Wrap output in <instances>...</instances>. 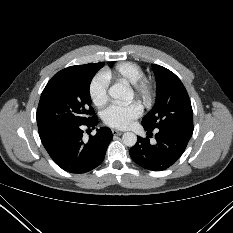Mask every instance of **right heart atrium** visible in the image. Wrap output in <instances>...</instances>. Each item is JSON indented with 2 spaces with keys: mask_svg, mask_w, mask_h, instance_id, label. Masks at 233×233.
Returning <instances> with one entry per match:
<instances>
[{
  "mask_svg": "<svg viewBox=\"0 0 233 233\" xmlns=\"http://www.w3.org/2000/svg\"><path fill=\"white\" fill-rule=\"evenodd\" d=\"M109 79L103 72L95 75L90 81L88 92L91 101L97 107H103L109 100L108 95Z\"/></svg>",
  "mask_w": 233,
  "mask_h": 233,
  "instance_id": "right-heart-atrium-1",
  "label": "right heart atrium"
}]
</instances>
